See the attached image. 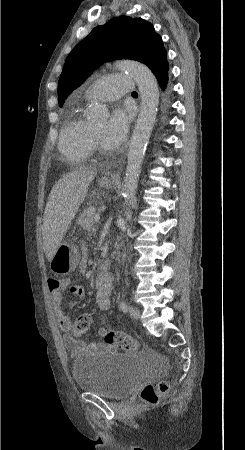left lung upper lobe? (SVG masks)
I'll use <instances>...</instances> for the list:
<instances>
[{"mask_svg": "<svg viewBox=\"0 0 245 450\" xmlns=\"http://www.w3.org/2000/svg\"><path fill=\"white\" fill-rule=\"evenodd\" d=\"M133 59L153 72L164 63L167 52L153 25L141 18L119 16L98 26L68 55L58 84V102L80 86L106 61Z\"/></svg>", "mask_w": 245, "mask_h": 450, "instance_id": "1", "label": "left lung upper lobe"}]
</instances>
